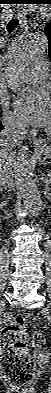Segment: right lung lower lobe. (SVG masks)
Masks as SVG:
<instances>
[{
  "instance_id": "98d812e1",
  "label": "right lung lower lobe",
  "mask_w": 51,
  "mask_h": 393,
  "mask_svg": "<svg viewBox=\"0 0 51 393\" xmlns=\"http://www.w3.org/2000/svg\"><path fill=\"white\" fill-rule=\"evenodd\" d=\"M3 128H4V126L0 122V130H2Z\"/></svg>"
}]
</instances>
